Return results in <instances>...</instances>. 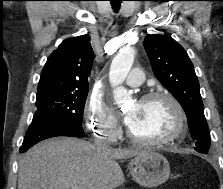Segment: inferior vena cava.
<instances>
[{"label":"inferior vena cava","mask_w":223,"mask_h":189,"mask_svg":"<svg viewBox=\"0 0 223 189\" xmlns=\"http://www.w3.org/2000/svg\"><path fill=\"white\" fill-rule=\"evenodd\" d=\"M94 143L98 150H105L108 148L107 142L102 138H95Z\"/></svg>","instance_id":"602c4592"}]
</instances>
